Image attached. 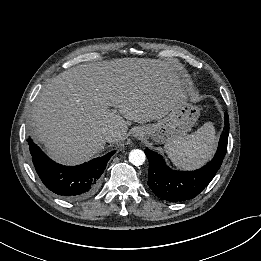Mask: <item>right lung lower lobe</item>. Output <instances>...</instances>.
<instances>
[{
    "mask_svg": "<svg viewBox=\"0 0 261 261\" xmlns=\"http://www.w3.org/2000/svg\"><path fill=\"white\" fill-rule=\"evenodd\" d=\"M28 141L32 162L43 184L71 201L84 199L96 191L107 162L115 153L112 151L78 166H63L46 156L31 139Z\"/></svg>",
    "mask_w": 261,
    "mask_h": 261,
    "instance_id": "right-lung-lower-lobe-1",
    "label": "right lung lower lobe"
}]
</instances>
